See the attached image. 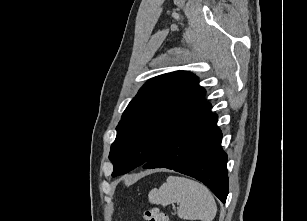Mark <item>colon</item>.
Wrapping results in <instances>:
<instances>
[{"mask_svg": "<svg viewBox=\"0 0 307 221\" xmlns=\"http://www.w3.org/2000/svg\"><path fill=\"white\" fill-rule=\"evenodd\" d=\"M146 221H168V217L158 207H151L142 212Z\"/></svg>", "mask_w": 307, "mask_h": 221, "instance_id": "1", "label": "colon"}]
</instances>
